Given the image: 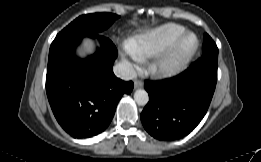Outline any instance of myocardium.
Here are the masks:
<instances>
[{"mask_svg": "<svg viewBox=\"0 0 261 162\" xmlns=\"http://www.w3.org/2000/svg\"><path fill=\"white\" fill-rule=\"evenodd\" d=\"M188 37H193V44L186 50L182 46ZM199 47V39L193 32H184L165 50L159 53L150 66V71L162 77H172L181 73L189 64Z\"/></svg>", "mask_w": 261, "mask_h": 162, "instance_id": "1", "label": "myocardium"}]
</instances>
